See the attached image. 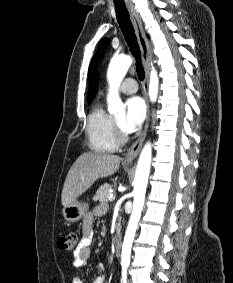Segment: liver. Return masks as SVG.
Instances as JSON below:
<instances>
[{
  "label": "liver",
  "instance_id": "obj_1",
  "mask_svg": "<svg viewBox=\"0 0 233 283\" xmlns=\"http://www.w3.org/2000/svg\"><path fill=\"white\" fill-rule=\"evenodd\" d=\"M118 155L102 152H85L71 166L64 182L61 201L71 204L86 192L99 178L113 175L120 166Z\"/></svg>",
  "mask_w": 233,
  "mask_h": 283
}]
</instances>
